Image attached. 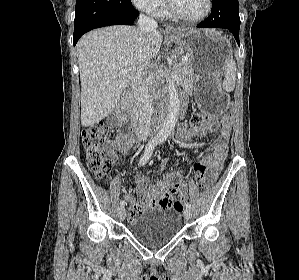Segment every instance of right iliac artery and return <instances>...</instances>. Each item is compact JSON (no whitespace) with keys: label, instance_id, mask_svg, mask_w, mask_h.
Returning <instances> with one entry per match:
<instances>
[{"label":"right iliac artery","instance_id":"obj_1","mask_svg":"<svg viewBox=\"0 0 299 280\" xmlns=\"http://www.w3.org/2000/svg\"><path fill=\"white\" fill-rule=\"evenodd\" d=\"M159 143V140L158 139H152L146 146L145 148V151H144V154L142 155V157L140 158V161H139V165L140 166H143L145 165L148 160L150 159L152 153H153V150L154 148L156 147V145ZM126 204L125 200H121L120 201V205L121 206H124Z\"/></svg>","mask_w":299,"mask_h":280}]
</instances>
